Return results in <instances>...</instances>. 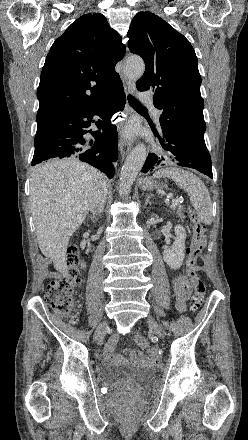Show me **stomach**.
I'll use <instances>...</instances> for the list:
<instances>
[{"mask_svg": "<svg viewBox=\"0 0 248 440\" xmlns=\"http://www.w3.org/2000/svg\"><path fill=\"white\" fill-rule=\"evenodd\" d=\"M140 185H141L142 189H143V190H146V191H150V190H153V189H156V188H160V187H161L160 184L156 183V182H155L153 179H151V178H146V179L142 180L141 183H140Z\"/></svg>", "mask_w": 248, "mask_h": 440, "instance_id": "0dacf381", "label": "stomach"}]
</instances>
